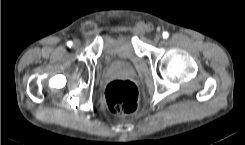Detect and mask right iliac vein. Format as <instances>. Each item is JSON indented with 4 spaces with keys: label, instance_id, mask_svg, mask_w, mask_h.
<instances>
[{
    "label": "right iliac vein",
    "instance_id": "obj_1",
    "mask_svg": "<svg viewBox=\"0 0 245 145\" xmlns=\"http://www.w3.org/2000/svg\"><path fill=\"white\" fill-rule=\"evenodd\" d=\"M80 45H81L80 40H75V42H74V48L75 49H78L80 47Z\"/></svg>",
    "mask_w": 245,
    "mask_h": 145
}]
</instances>
